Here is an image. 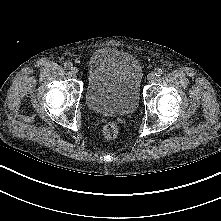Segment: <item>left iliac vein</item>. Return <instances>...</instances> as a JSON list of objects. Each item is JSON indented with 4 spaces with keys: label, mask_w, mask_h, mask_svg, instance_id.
Returning <instances> with one entry per match:
<instances>
[{
    "label": "left iliac vein",
    "mask_w": 221,
    "mask_h": 221,
    "mask_svg": "<svg viewBox=\"0 0 221 221\" xmlns=\"http://www.w3.org/2000/svg\"><path fill=\"white\" fill-rule=\"evenodd\" d=\"M147 79H148L149 81H154V80L156 79V75H155L154 73H149V74L147 75Z\"/></svg>",
    "instance_id": "1"
}]
</instances>
